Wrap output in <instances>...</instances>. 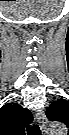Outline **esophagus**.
Listing matches in <instances>:
<instances>
[{
    "mask_svg": "<svg viewBox=\"0 0 69 135\" xmlns=\"http://www.w3.org/2000/svg\"><path fill=\"white\" fill-rule=\"evenodd\" d=\"M35 116H36V119H37L41 129L43 131H45L46 127H47V119H46L44 111L43 110H37L36 113H35Z\"/></svg>",
    "mask_w": 69,
    "mask_h": 135,
    "instance_id": "34e87169",
    "label": "esophagus"
}]
</instances>
